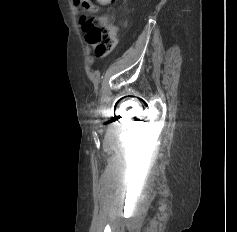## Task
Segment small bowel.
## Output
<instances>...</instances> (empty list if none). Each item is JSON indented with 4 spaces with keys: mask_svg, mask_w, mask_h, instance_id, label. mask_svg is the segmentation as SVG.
Instances as JSON below:
<instances>
[{
    "mask_svg": "<svg viewBox=\"0 0 237 232\" xmlns=\"http://www.w3.org/2000/svg\"><path fill=\"white\" fill-rule=\"evenodd\" d=\"M94 62V58H93V56H91V55H89V63H93Z\"/></svg>",
    "mask_w": 237,
    "mask_h": 232,
    "instance_id": "obj_1",
    "label": "small bowel"
}]
</instances>
